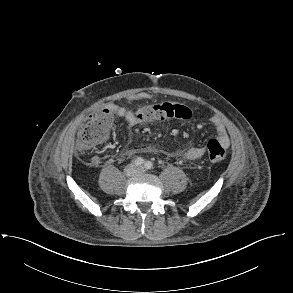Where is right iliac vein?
<instances>
[{"label":"right iliac vein","instance_id":"63e3f726","mask_svg":"<svg viewBox=\"0 0 293 293\" xmlns=\"http://www.w3.org/2000/svg\"><path fill=\"white\" fill-rule=\"evenodd\" d=\"M125 174L126 176H133L136 174V169L133 165H129L125 168Z\"/></svg>","mask_w":293,"mask_h":293}]
</instances>
